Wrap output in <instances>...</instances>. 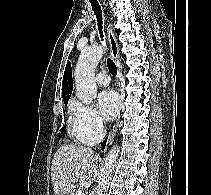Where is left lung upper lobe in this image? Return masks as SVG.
Wrapping results in <instances>:
<instances>
[{
    "label": "left lung upper lobe",
    "mask_w": 211,
    "mask_h": 195,
    "mask_svg": "<svg viewBox=\"0 0 211 195\" xmlns=\"http://www.w3.org/2000/svg\"><path fill=\"white\" fill-rule=\"evenodd\" d=\"M117 34H119V30H116Z\"/></svg>",
    "instance_id": "5c2ea615"
}]
</instances>
